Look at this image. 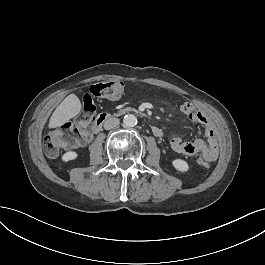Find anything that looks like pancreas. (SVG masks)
<instances>
[{
  "instance_id": "cf45deb5",
  "label": "pancreas",
  "mask_w": 265,
  "mask_h": 265,
  "mask_svg": "<svg viewBox=\"0 0 265 265\" xmlns=\"http://www.w3.org/2000/svg\"><path fill=\"white\" fill-rule=\"evenodd\" d=\"M127 111H133V108H126Z\"/></svg>"
}]
</instances>
